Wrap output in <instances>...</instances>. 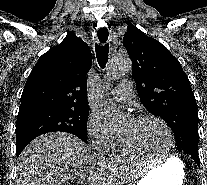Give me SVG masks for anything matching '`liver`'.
Wrapping results in <instances>:
<instances>
[{"instance_id":"obj_1","label":"liver","mask_w":207,"mask_h":185,"mask_svg":"<svg viewBox=\"0 0 207 185\" xmlns=\"http://www.w3.org/2000/svg\"><path fill=\"white\" fill-rule=\"evenodd\" d=\"M95 155L70 133H45L23 149L16 185H69L90 171Z\"/></svg>"}]
</instances>
